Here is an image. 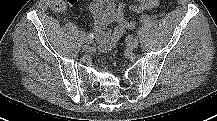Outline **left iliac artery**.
I'll use <instances>...</instances> for the list:
<instances>
[{"label": "left iliac artery", "mask_w": 217, "mask_h": 121, "mask_svg": "<svg viewBox=\"0 0 217 121\" xmlns=\"http://www.w3.org/2000/svg\"><path fill=\"white\" fill-rule=\"evenodd\" d=\"M151 21H152V18L149 15L144 14L140 17V22L143 24H148Z\"/></svg>", "instance_id": "1"}]
</instances>
